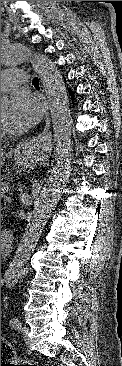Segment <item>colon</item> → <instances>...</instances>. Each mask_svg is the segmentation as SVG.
Returning a JSON list of instances; mask_svg holds the SVG:
<instances>
[{"mask_svg":"<svg viewBox=\"0 0 122 366\" xmlns=\"http://www.w3.org/2000/svg\"><path fill=\"white\" fill-rule=\"evenodd\" d=\"M3 358V359H2ZM1 359L3 361H7V362H11V363H3V366H15V364L12 363L14 357L12 354V349L9 346V344L3 340H1ZM20 366H38L36 364H30V363H26Z\"/></svg>","mask_w":122,"mask_h":366,"instance_id":"1","label":"colon"}]
</instances>
